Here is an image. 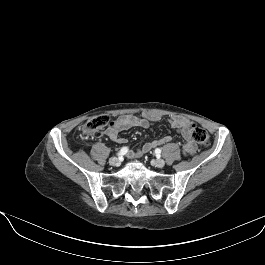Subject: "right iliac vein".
<instances>
[{
	"label": "right iliac vein",
	"instance_id": "obj_1",
	"mask_svg": "<svg viewBox=\"0 0 265 265\" xmlns=\"http://www.w3.org/2000/svg\"><path fill=\"white\" fill-rule=\"evenodd\" d=\"M109 163L113 166H119L120 160L117 157H112L109 159Z\"/></svg>",
	"mask_w": 265,
	"mask_h": 265
}]
</instances>
